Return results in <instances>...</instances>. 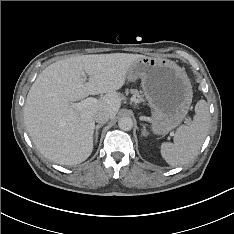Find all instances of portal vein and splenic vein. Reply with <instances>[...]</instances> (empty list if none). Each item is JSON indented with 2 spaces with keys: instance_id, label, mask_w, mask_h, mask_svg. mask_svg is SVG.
<instances>
[{
  "instance_id": "18ae733b",
  "label": "portal vein and splenic vein",
  "mask_w": 234,
  "mask_h": 234,
  "mask_svg": "<svg viewBox=\"0 0 234 234\" xmlns=\"http://www.w3.org/2000/svg\"><path fill=\"white\" fill-rule=\"evenodd\" d=\"M97 102V99L94 98V97H89L81 102H78V103H73L71 105L72 108L76 109V110H82L83 108L89 106V105H92L94 103Z\"/></svg>"
}]
</instances>
